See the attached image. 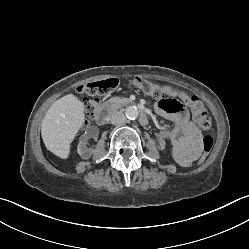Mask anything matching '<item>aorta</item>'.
Segmentation results:
<instances>
[{"instance_id": "762f6f07", "label": "aorta", "mask_w": 249, "mask_h": 249, "mask_svg": "<svg viewBox=\"0 0 249 249\" xmlns=\"http://www.w3.org/2000/svg\"><path fill=\"white\" fill-rule=\"evenodd\" d=\"M125 115L128 119L134 120L138 117L139 112L135 106H127L125 108Z\"/></svg>"}]
</instances>
